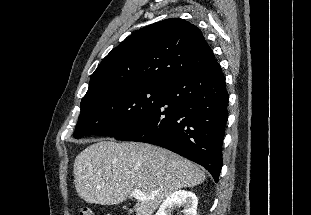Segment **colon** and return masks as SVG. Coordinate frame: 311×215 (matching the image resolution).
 Instances as JSON below:
<instances>
[{"instance_id":"5ec220e1","label":"colon","mask_w":311,"mask_h":215,"mask_svg":"<svg viewBox=\"0 0 311 215\" xmlns=\"http://www.w3.org/2000/svg\"><path fill=\"white\" fill-rule=\"evenodd\" d=\"M79 215H95V214L91 209L83 208L80 210Z\"/></svg>"}]
</instances>
